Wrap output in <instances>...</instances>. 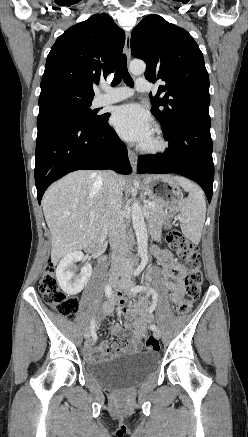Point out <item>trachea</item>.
<instances>
[{
    "label": "trachea",
    "mask_w": 248,
    "mask_h": 437,
    "mask_svg": "<svg viewBox=\"0 0 248 437\" xmlns=\"http://www.w3.org/2000/svg\"><path fill=\"white\" fill-rule=\"evenodd\" d=\"M121 79H123L124 82L131 87L134 85L133 80L127 69V57L125 54L122 55L119 61L111 86L118 85Z\"/></svg>",
    "instance_id": "trachea-1"
}]
</instances>
